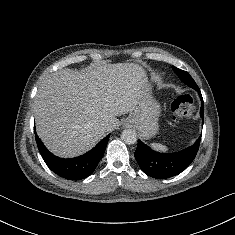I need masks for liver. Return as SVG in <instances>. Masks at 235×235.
Masks as SVG:
<instances>
[{"label":"liver","instance_id":"liver-1","mask_svg":"<svg viewBox=\"0 0 235 235\" xmlns=\"http://www.w3.org/2000/svg\"><path fill=\"white\" fill-rule=\"evenodd\" d=\"M146 85L144 69L134 63L59 70L41 83L35 97L38 136L57 156L81 155L119 126L116 116L135 111Z\"/></svg>","mask_w":235,"mask_h":235}]
</instances>
